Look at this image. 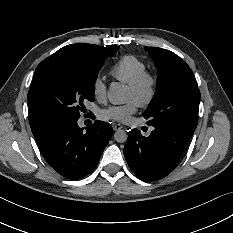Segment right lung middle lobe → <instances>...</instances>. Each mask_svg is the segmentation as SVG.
<instances>
[{
    "label": "right lung middle lobe",
    "instance_id": "dd1d6c3e",
    "mask_svg": "<svg viewBox=\"0 0 233 233\" xmlns=\"http://www.w3.org/2000/svg\"><path fill=\"white\" fill-rule=\"evenodd\" d=\"M103 62L71 54H53L35 70L28 92L30 126L51 120L79 118L84 101H93L97 72Z\"/></svg>",
    "mask_w": 233,
    "mask_h": 233
}]
</instances>
